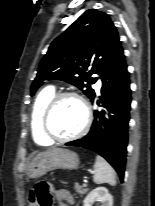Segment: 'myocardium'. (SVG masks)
<instances>
[{
  "mask_svg": "<svg viewBox=\"0 0 155 206\" xmlns=\"http://www.w3.org/2000/svg\"><path fill=\"white\" fill-rule=\"evenodd\" d=\"M64 98H74L81 103L83 110H84V122H83L82 127L74 134L69 135L67 137H58V136H55L50 131L49 117L55 105ZM91 123H92V111H91V107L88 101L81 94L74 92V91H64V92L55 94L51 98V100L48 102L46 107L44 108V111L41 116L42 132L50 141H53V142H67V141L77 139L87 133V131L89 130L91 126Z\"/></svg>",
  "mask_w": 155,
  "mask_h": 206,
  "instance_id": "obj_1",
  "label": "myocardium"
}]
</instances>
